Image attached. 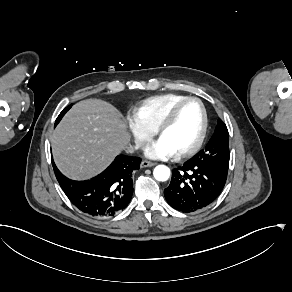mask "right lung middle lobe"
I'll return each instance as SVG.
<instances>
[{
	"mask_svg": "<svg viewBox=\"0 0 292 292\" xmlns=\"http://www.w3.org/2000/svg\"><path fill=\"white\" fill-rule=\"evenodd\" d=\"M70 107H71V105L68 106L67 108H65V109L60 113V115L58 116V118H57V120H56L55 125L58 124V122L61 120V118L63 117V115L66 113V111H68V110L70 109Z\"/></svg>",
	"mask_w": 292,
	"mask_h": 292,
	"instance_id": "obj_1",
	"label": "right lung middle lobe"
}]
</instances>
